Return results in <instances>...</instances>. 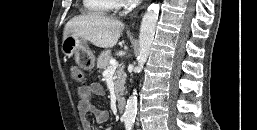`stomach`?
Segmentation results:
<instances>
[{"mask_svg":"<svg viewBox=\"0 0 257 130\" xmlns=\"http://www.w3.org/2000/svg\"><path fill=\"white\" fill-rule=\"evenodd\" d=\"M62 53L70 58L74 56L76 62L84 68L91 69L95 65V56L87 45V40L70 33L62 40Z\"/></svg>","mask_w":257,"mask_h":130,"instance_id":"obj_1","label":"stomach"}]
</instances>
